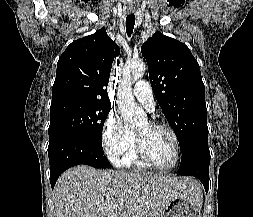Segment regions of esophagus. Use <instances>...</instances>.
Masks as SVG:
<instances>
[{
    "label": "esophagus",
    "mask_w": 253,
    "mask_h": 217,
    "mask_svg": "<svg viewBox=\"0 0 253 217\" xmlns=\"http://www.w3.org/2000/svg\"><path fill=\"white\" fill-rule=\"evenodd\" d=\"M134 12V9L133 8H129L128 9V13H133Z\"/></svg>",
    "instance_id": "obj_1"
}]
</instances>
